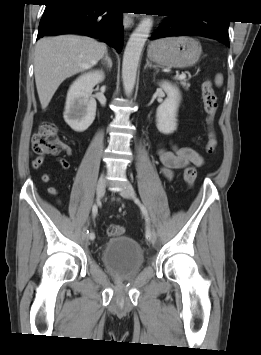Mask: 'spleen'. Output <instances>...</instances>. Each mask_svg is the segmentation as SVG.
I'll return each mask as SVG.
<instances>
[{
	"label": "spleen",
	"mask_w": 261,
	"mask_h": 355,
	"mask_svg": "<svg viewBox=\"0 0 261 355\" xmlns=\"http://www.w3.org/2000/svg\"><path fill=\"white\" fill-rule=\"evenodd\" d=\"M215 83H216V85H218V86H221V85H222V83H223V77H222L221 74H218V75L216 76V78H215Z\"/></svg>",
	"instance_id": "1"
}]
</instances>
